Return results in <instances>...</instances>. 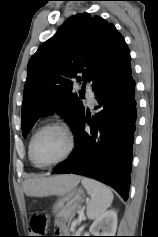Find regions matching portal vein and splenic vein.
I'll return each instance as SVG.
<instances>
[{"label": "portal vein and splenic vein", "mask_w": 158, "mask_h": 237, "mask_svg": "<svg viewBox=\"0 0 158 237\" xmlns=\"http://www.w3.org/2000/svg\"><path fill=\"white\" fill-rule=\"evenodd\" d=\"M82 219H83V212L81 211L80 213H79V218H78V220H77V223H81V221H82Z\"/></svg>", "instance_id": "portal-vein-and-splenic-vein-1"}]
</instances>
